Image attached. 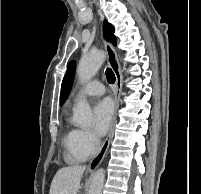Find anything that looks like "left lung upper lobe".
I'll return each mask as SVG.
<instances>
[{
  "instance_id": "left-lung-upper-lobe-1",
  "label": "left lung upper lobe",
  "mask_w": 201,
  "mask_h": 194,
  "mask_svg": "<svg viewBox=\"0 0 201 194\" xmlns=\"http://www.w3.org/2000/svg\"><path fill=\"white\" fill-rule=\"evenodd\" d=\"M104 37L107 41L112 42L114 45H116V38L114 36V27L107 22V20L104 21ZM76 63L75 61H71L68 65L66 74L62 81L61 86V104L65 102V100L68 97V94L71 90L74 73H75Z\"/></svg>"
}]
</instances>
